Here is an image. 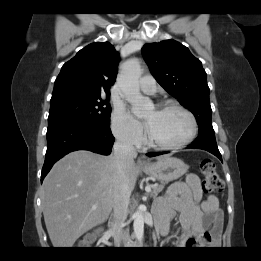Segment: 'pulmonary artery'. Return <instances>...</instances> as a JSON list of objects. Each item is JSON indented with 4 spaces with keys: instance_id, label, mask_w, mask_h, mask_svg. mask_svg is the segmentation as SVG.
I'll list each match as a JSON object with an SVG mask.
<instances>
[{
    "instance_id": "1",
    "label": "pulmonary artery",
    "mask_w": 261,
    "mask_h": 261,
    "mask_svg": "<svg viewBox=\"0 0 261 261\" xmlns=\"http://www.w3.org/2000/svg\"><path fill=\"white\" fill-rule=\"evenodd\" d=\"M139 87L146 94H154L157 89L155 79L150 75H145L139 80Z\"/></svg>"
}]
</instances>
